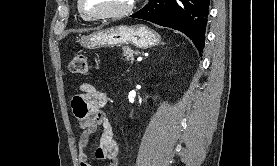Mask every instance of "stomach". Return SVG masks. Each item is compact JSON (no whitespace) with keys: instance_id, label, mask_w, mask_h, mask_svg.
I'll use <instances>...</instances> for the list:
<instances>
[{"instance_id":"obj_1","label":"stomach","mask_w":277,"mask_h":166,"mask_svg":"<svg viewBox=\"0 0 277 166\" xmlns=\"http://www.w3.org/2000/svg\"><path fill=\"white\" fill-rule=\"evenodd\" d=\"M79 42L89 49L121 46L129 43L145 49L158 45L161 42V37L144 25H119L94 32Z\"/></svg>"}]
</instances>
